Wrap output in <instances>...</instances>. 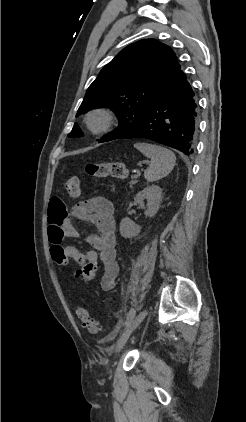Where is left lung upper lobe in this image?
Returning a JSON list of instances; mask_svg holds the SVG:
<instances>
[{"label":"left lung upper lobe","mask_w":246,"mask_h":422,"mask_svg":"<svg viewBox=\"0 0 246 422\" xmlns=\"http://www.w3.org/2000/svg\"><path fill=\"white\" fill-rule=\"evenodd\" d=\"M181 66L175 53L155 39H143L118 53L89 86L76 116L87 111L110 108L119 126L99 139L111 141L132 128L144 115L153 99ZM75 123L68 137H82Z\"/></svg>","instance_id":"1"}]
</instances>
